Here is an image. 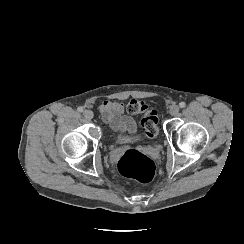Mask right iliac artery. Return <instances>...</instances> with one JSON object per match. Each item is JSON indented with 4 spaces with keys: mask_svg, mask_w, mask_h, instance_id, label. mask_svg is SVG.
<instances>
[{
    "mask_svg": "<svg viewBox=\"0 0 244 244\" xmlns=\"http://www.w3.org/2000/svg\"><path fill=\"white\" fill-rule=\"evenodd\" d=\"M77 110L78 112H83V107H78Z\"/></svg>",
    "mask_w": 244,
    "mask_h": 244,
    "instance_id": "1",
    "label": "right iliac artery"
}]
</instances>
